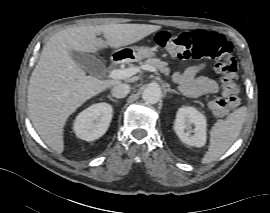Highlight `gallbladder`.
Segmentation results:
<instances>
[{"instance_id":"bac80fb5","label":"gallbladder","mask_w":270,"mask_h":213,"mask_svg":"<svg viewBox=\"0 0 270 213\" xmlns=\"http://www.w3.org/2000/svg\"><path fill=\"white\" fill-rule=\"evenodd\" d=\"M71 57L81 68L93 76H100L104 71L103 62L92 54L71 51Z\"/></svg>"}]
</instances>
